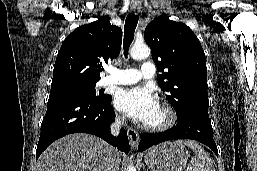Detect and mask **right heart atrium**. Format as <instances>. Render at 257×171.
Instances as JSON below:
<instances>
[{
  "mask_svg": "<svg viewBox=\"0 0 257 171\" xmlns=\"http://www.w3.org/2000/svg\"><path fill=\"white\" fill-rule=\"evenodd\" d=\"M116 120H117L118 122H123V121H124V118H123L122 116H120V115H117V116H116Z\"/></svg>",
  "mask_w": 257,
  "mask_h": 171,
  "instance_id": "right-heart-atrium-1",
  "label": "right heart atrium"
}]
</instances>
